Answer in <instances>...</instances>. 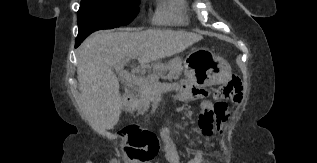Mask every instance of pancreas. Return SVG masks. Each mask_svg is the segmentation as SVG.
I'll return each instance as SVG.
<instances>
[{
	"label": "pancreas",
	"instance_id": "pancreas-1",
	"mask_svg": "<svg viewBox=\"0 0 317 163\" xmlns=\"http://www.w3.org/2000/svg\"><path fill=\"white\" fill-rule=\"evenodd\" d=\"M153 73L149 74L146 78V83L139 86L138 100L129 108L130 111L137 110L139 114H143L149 109L151 102L155 100L161 89L158 86V80L160 77L166 79L178 78L182 71V60L180 58H174L166 64L160 62L152 64ZM168 72L166 76L165 73Z\"/></svg>",
	"mask_w": 317,
	"mask_h": 163
}]
</instances>
